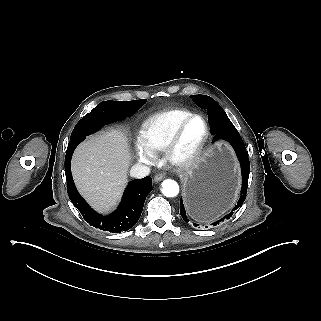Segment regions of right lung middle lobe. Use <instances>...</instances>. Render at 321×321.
Here are the masks:
<instances>
[{"label": "right lung middle lobe", "instance_id": "right-lung-middle-lobe-1", "mask_svg": "<svg viewBox=\"0 0 321 321\" xmlns=\"http://www.w3.org/2000/svg\"><path fill=\"white\" fill-rule=\"evenodd\" d=\"M109 102L111 101L101 102L90 113L85 115L75 126L70 138L77 137L84 133H87V135H90L96 132L97 130H99L103 126V124L101 123V119L98 118V116L95 114V111L99 106ZM128 102L140 108L146 103V99L133 100Z\"/></svg>", "mask_w": 321, "mask_h": 321}]
</instances>
